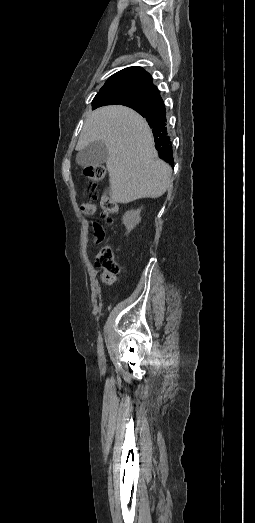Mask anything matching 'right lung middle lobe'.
Instances as JSON below:
<instances>
[{
    "label": "right lung middle lobe",
    "mask_w": 255,
    "mask_h": 523,
    "mask_svg": "<svg viewBox=\"0 0 255 523\" xmlns=\"http://www.w3.org/2000/svg\"><path fill=\"white\" fill-rule=\"evenodd\" d=\"M105 98L116 102H143L147 100V94L138 89H131L119 92H109Z\"/></svg>",
    "instance_id": "dd1d6c3e"
}]
</instances>
